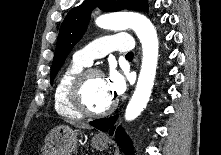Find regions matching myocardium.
I'll use <instances>...</instances> for the list:
<instances>
[{"label":"myocardium","instance_id":"obj_1","mask_svg":"<svg viewBox=\"0 0 221 155\" xmlns=\"http://www.w3.org/2000/svg\"><path fill=\"white\" fill-rule=\"evenodd\" d=\"M95 75L103 76V72L98 68H84L73 78L68 88V101L72 108L82 116L103 117L112 113L117 106L116 100H113L107 108L101 111H92L87 107L83 98V89L88 79Z\"/></svg>","mask_w":221,"mask_h":155}]
</instances>
